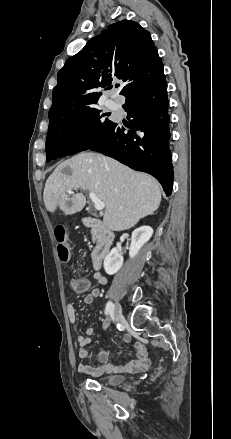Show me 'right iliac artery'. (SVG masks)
Returning <instances> with one entry per match:
<instances>
[{
  "label": "right iliac artery",
  "instance_id": "obj_1",
  "mask_svg": "<svg viewBox=\"0 0 231 439\" xmlns=\"http://www.w3.org/2000/svg\"><path fill=\"white\" fill-rule=\"evenodd\" d=\"M114 304L111 301H108L105 308V314L109 315L113 313Z\"/></svg>",
  "mask_w": 231,
  "mask_h": 439
}]
</instances>
